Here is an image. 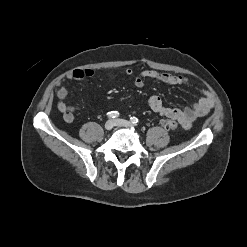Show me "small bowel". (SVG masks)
<instances>
[{
    "instance_id": "c3829d8e",
    "label": "small bowel",
    "mask_w": 247,
    "mask_h": 247,
    "mask_svg": "<svg viewBox=\"0 0 247 247\" xmlns=\"http://www.w3.org/2000/svg\"><path fill=\"white\" fill-rule=\"evenodd\" d=\"M126 76H132L133 71L126 69L124 71ZM94 75L91 69H75L70 72L66 78L68 80H81L84 78H90ZM110 78H115L114 74L109 75ZM136 87L141 88L145 85L146 81H157L169 85H182L186 84L188 80L180 75L171 73H163L155 70L143 71L133 78ZM68 95V89L64 81L57 84L56 96L58 98V109L63 115V119L66 123H71L74 120L75 108L68 105L65 99ZM150 109L164 117L177 121L181 126L188 129L194 124V122L205 116L210 112L214 106V102L211 94L205 88L201 89V97L191 106L185 109L170 108L163 105L162 100L158 96H151L148 100Z\"/></svg>"
}]
</instances>
